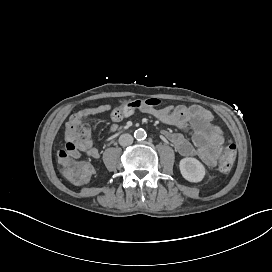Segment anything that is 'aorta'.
<instances>
[{
    "mask_svg": "<svg viewBox=\"0 0 272 272\" xmlns=\"http://www.w3.org/2000/svg\"><path fill=\"white\" fill-rule=\"evenodd\" d=\"M134 137L138 140H144L147 137L146 131L142 128L135 130Z\"/></svg>",
    "mask_w": 272,
    "mask_h": 272,
    "instance_id": "aorta-1",
    "label": "aorta"
}]
</instances>
